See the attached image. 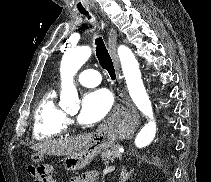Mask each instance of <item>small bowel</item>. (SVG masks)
Returning a JSON list of instances; mask_svg holds the SVG:
<instances>
[{
    "label": "small bowel",
    "mask_w": 211,
    "mask_h": 182,
    "mask_svg": "<svg viewBox=\"0 0 211 182\" xmlns=\"http://www.w3.org/2000/svg\"><path fill=\"white\" fill-rule=\"evenodd\" d=\"M97 175L94 172H86L80 176H76L70 179L69 182H94ZM36 182V180H35Z\"/></svg>",
    "instance_id": "small-bowel-1"
}]
</instances>
